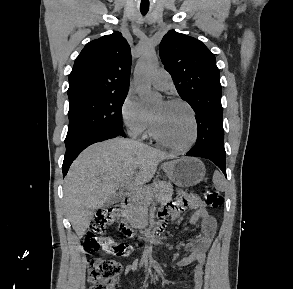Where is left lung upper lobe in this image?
I'll return each mask as SVG.
<instances>
[{
	"instance_id": "5c2ea615",
	"label": "left lung upper lobe",
	"mask_w": 293,
	"mask_h": 289,
	"mask_svg": "<svg viewBox=\"0 0 293 289\" xmlns=\"http://www.w3.org/2000/svg\"><path fill=\"white\" fill-rule=\"evenodd\" d=\"M159 54L178 94L193 108L196 119H222V88L214 54L201 41L173 30L163 37Z\"/></svg>"
}]
</instances>
